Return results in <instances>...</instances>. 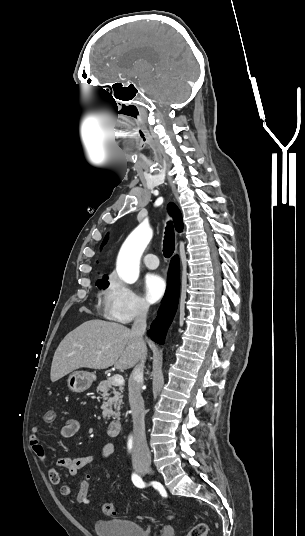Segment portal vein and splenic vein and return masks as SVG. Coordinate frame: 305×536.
Instances as JSON below:
<instances>
[{
  "mask_svg": "<svg viewBox=\"0 0 305 536\" xmlns=\"http://www.w3.org/2000/svg\"><path fill=\"white\" fill-rule=\"evenodd\" d=\"M124 380H123V376H113L112 378V384H115V386H121V384H123Z\"/></svg>",
  "mask_w": 305,
  "mask_h": 536,
  "instance_id": "portal-vein-and-splenic-vein-1",
  "label": "portal vein and splenic vein"
}]
</instances>
